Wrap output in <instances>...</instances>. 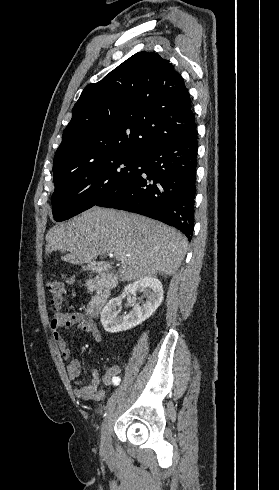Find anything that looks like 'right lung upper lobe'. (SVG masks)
I'll list each match as a JSON object with an SVG mask.
<instances>
[{"label": "right lung upper lobe", "mask_w": 279, "mask_h": 490, "mask_svg": "<svg viewBox=\"0 0 279 490\" xmlns=\"http://www.w3.org/2000/svg\"><path fill=\"white\" fill-rule=\"evenodd\" d=\"M196 127L181 75L157 53L138 52L83 90L56 151L53 175L108 153L144 157Z\"/></svg>", "instance_id": "obj_1"}]
</instances>
